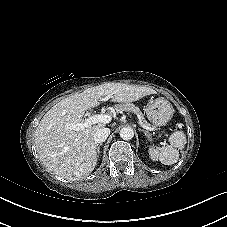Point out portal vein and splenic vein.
<instances>
[{"label": "portal vein and splenic vein", "instance_id": "portal-vein-and-splenic-vein-1", "mask_svg": "<svg viewBox=\"0 0 227 227\" xmlns=\"http://www.w3.org/2000/svg\"><path fill=\"white\" fill-rule=\"evenodd\" d=\"M111 119H112V117L110 115H106V114L92 115V116H89L87 119H85L82 122L69 124L68 127L72 130L80 131V130H84V129L90 127L93 124H97V123L107 124L111 121ZM139 124L142 128H144L148 131L155 130L150 125H145L140 121H139Z\"/></svg>", "mask_w": 227, "mask_h": 227}]
</instances>
